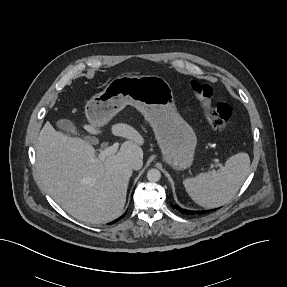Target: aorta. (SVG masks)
Masks as SVG:
<instances>
[{"instance_id":"aorta-1","label":"aorta","mask_w":287,"mask_h":287,"mask_svg":"<svg viewBox=\"0 0 287 287\" xmlns=\"http://www.w3.org/2000/svg\"><path fill=\"white\" fill-rule=\"evenodd\" d=\"M161 178V173L158 169H150L147 173V179L150 182H158Z\"/></svg>"}]
</instances>
